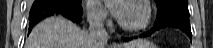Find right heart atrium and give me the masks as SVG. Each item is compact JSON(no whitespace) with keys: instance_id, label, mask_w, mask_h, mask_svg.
Returning <instances> with one entry per match:
<instances>
[{"instance_id":"1","label":"right heart atrium","mask_w":213,"mask_h":48,"mask_svg":"<svg viewBox=\"0 0 213 48\" xmlns=\"http://www.w3.org/2000/svg\"><path fill=\"white\" fill-rule=\"evenodd\" d=\"M87 18L95 27H102L107 22V15L96 1L86 3Z\"/></svg>"}]
</instances>
